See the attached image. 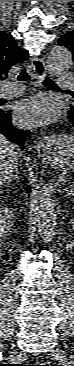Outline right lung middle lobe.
I'll list each match as a JSON object with an SVG mask.
<instances>
[{"label": "right lung middle lobe", "instance_id": "right-lung-middle-lobe-1", "mask_svg": "<svg viewBox=\"0 0 74 366\" xmlns=\"http://www.w3.org/2000/svg\"><path fill=\"white\" fill-rule=\"evenodd\" d=\"M3 104V101L2 100H0V106Z\"/></svg>", "mask_w": 74, "mask_h": 366}]
</instances>
